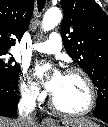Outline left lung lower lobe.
I'll return each instance as SVG.
<instances>
[{"instance_id":"0a47b994","label":"left lung lower lobe","mask_w":108,"mask_h":127,"mask_svg":"<svg viewBox=\"0 0 108 127\" xmlns=\"http://www.w3.org/2000/svg\"><path fill=\"white\" fill-rule=\"evenodd\" d=\"M94 114L106 123H108V105L97 104L94 110Z\"/></svg>"}]
</instances>
